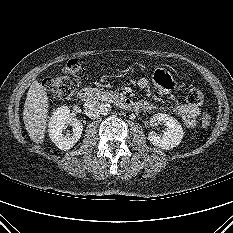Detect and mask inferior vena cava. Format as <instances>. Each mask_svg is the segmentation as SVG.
I'll return each instance as SVG.
<instances>
[{"instance_id": "1", "label": "inferior vena cava", "mask_w": 233, "mask_h": 233, "mask_svg": "<svg viewBox=\"0 0 233 233\" xmlns=\"http://www.w3.org/2000/svg\"><path fill=\"white\" fill-rule=\"evenodd\" d=\"M103 104L99 101H87L84 104V111L90 118H98L102 114Z\"/></svg>"}]
</instances>
